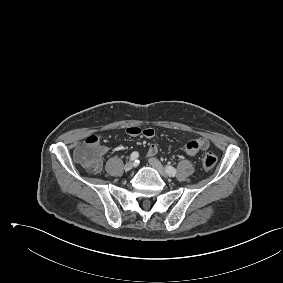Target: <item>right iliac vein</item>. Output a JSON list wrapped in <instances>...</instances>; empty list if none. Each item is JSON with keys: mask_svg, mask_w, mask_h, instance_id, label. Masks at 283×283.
<instances>
[{"mask_svg": "<svg viewBox=\"0 0 283 283\" xmlns=\"http://www.w3.org/2000/svg\"><path fill=\"white\" fill-rule=\"evenodd\" d=\"M133 167H134V163L129 161L125 164L124 169H125V171H130V170H132Z\"/></svg>", "mask_w": 283, "mask_h": 283, "instance_id": "right-iliac-vein-1", "label": "right iliac vein"}]
</instances>
